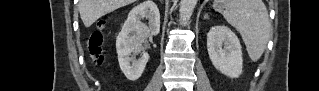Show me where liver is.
<instances>
[{
	"label": "liver",
	"mask_w": 319,
	"mask_h": 91,
	"mask_svg": "<svg viewBox=\"0 0 319 91\" xmlns=\"http://www.w3.org/2000/svg\"><path fill=\"white\" fill-rule=\"evenodd\" d=\"M135 0H79L78 9L85 27H90L102 16L118 8L129 5Z\"/></svg>",
	"instance_id": "1"
}]
</instances>
